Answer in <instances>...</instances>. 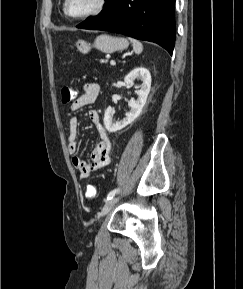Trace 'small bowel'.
<instances>
[{
  "label": "small bowel",
  "mask_w": 243,
  "mask_h": 289,
  "mask_svg": "<svg viewBox=\"0 0 243 289\" xmlns=\"http://www.w3.org/2000/svg\"><path fill=\"white\" fill-rule=\"evenodd\" d=\"M99 86L94 82H88L84 85V93L76 97L71 104V112H75L87 105L93 104L99 95ZM89 119L92 126L99 135V142L91 152V161L86 162L78 156H75L78 142L79 122L76 116H71L68 128V152L72 155V165L78 170L81 179L90 176L94 171L106 167L110 164L111 142L106 129L100 122L99 114L96 110L89 111Z\"/></svg>",
  "instance_id": "c3829d8e"
}]
</instances>
